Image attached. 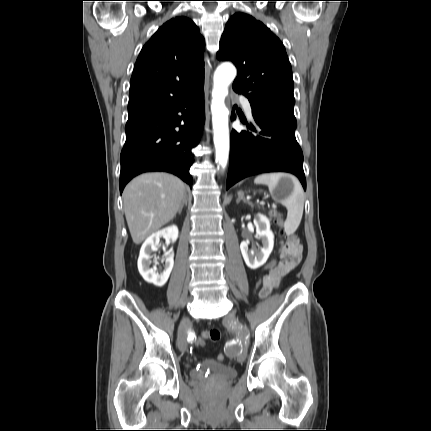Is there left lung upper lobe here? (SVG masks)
<instances>
[{"label":"left lung upper lobe","instance_id":"5c2ea615","mask_svg":"<svg viewBox=\"0 0 431 431\" xmlns=\"http://www.w3.org/2000/svg\"><path fill=\"white\" fill-rule=\"evenodd\" d=\"M217 58L236 65L233 89L245 95L253 109L296 120L291 65L282 42L263 23L247 14L233 15Z\"/></svg>","mask_w":431,"mask_h":431}]
</instances>
